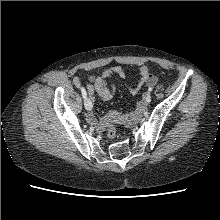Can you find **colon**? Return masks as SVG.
Here are the masks:
<instances>
[{"label": "colon", "instance_id": "obj_1", "mask_svg": "<svg viewBox=\"0 0 220 220\" xmlns=\"http://www.w3.org/2000/svg\"><path fill=\"white\" fill-rule=\"evenodd\" d=\"M117 135L116 125L114 123H110L107 129V136L110 139H114Z\"/></svg>", "mask_w": 220, "mask_h": 220}]
</instances>
